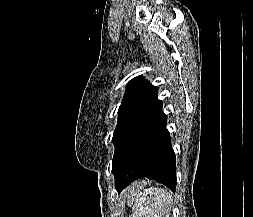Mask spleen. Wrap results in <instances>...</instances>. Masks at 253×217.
Returning <instances> with one entry per match:
<instances>
[{"mask_svg": "<svg viewBox=\"0 0 253 217\" xmlns=\"http://www.w3.org/2000/svg\"><path fill=\"white\" fill-rule=\"evenodd\" d=\"M134 201L132 217H170L173 199L167 189L150 187L138 195L130 193L128 203Z\"/></svg>", "mask_w": 253, "mask_h": 217, "instance_id": "spleen-1", "label": "spleen"}]
</instances>
